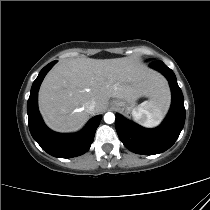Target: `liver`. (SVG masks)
<instances>
[{"label": "liver", "instance_id": "1", "mask_svg": "<svg viewBox=\"0 0 210 210\" xmlns=\"http://www.w3.org/2000/svg\"><path fill=\"white\" fill-rule=\"evenodd\" d=\"M145 96L167 103L166 80L134 58L64 60L46 75L39 110L46 124L61 132L82 127L90 114L103 112L111 97L126 101ZM90 101L96 102L92 113Z\"/></svg>", "mask_w": 210, "mask_h": 210}]
</instances>
